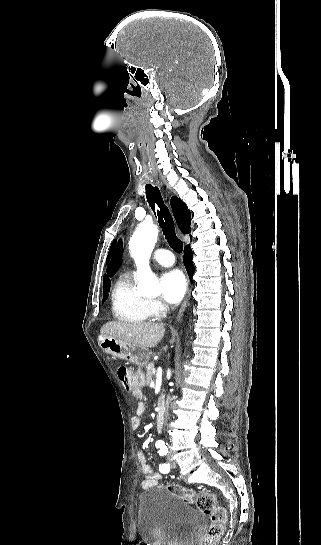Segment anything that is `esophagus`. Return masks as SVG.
<instances>
[{
  "label": "esophagus",
  "mask_w": 321,
  "mask_h": 545,
  "mask_svg": "<svg viewBox=\"0 0 321 545\" xmlns=\"http://www.w3.org/2000/svg\"><path fill=\"white\" fill-rule=\"evenodd\" d=\"M190 293H191V289L188 290L187 299L183 302L182 307H181V309L179 310V313H178V315H177V317H176V321H178V320L180 319V317H181L183 311L185 310V307H186V304H187V300H188V298L190 297Z\"/></svg>",
  "instance_id": "esophagus-1"
}]
</instances>
